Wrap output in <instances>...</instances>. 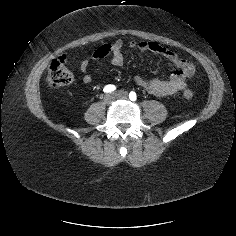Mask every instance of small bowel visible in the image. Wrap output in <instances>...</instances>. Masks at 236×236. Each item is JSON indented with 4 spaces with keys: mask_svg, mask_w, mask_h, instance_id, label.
<instances>
[{
    "mask_svg": "<svg viewBox=\"0 0 236 236\" xmlns=\"http://www.w3.org/2000/svg\"><path fill=\"white\" fill-rule=\"evenodd\" d=\"M129 47L141 51H147L159 54L173 63L176 69L166 79H146L142 76L136 75L133 77L134 82L148 93L156 96H168L184 91L188 86L187 78L194 73V66L191 61L180 56L173 50L163 47L152 41H131ZM107 55L111 56L110 65L115 67L124 66L123 56V42L121 40L115 41L113 44H103L97 47L92 53L91 58H86L80 63V71L82 73V82L85 85H90L93 78L88 74V68L93 61L102 59ZM128 76V80H130Z\"/></svg>",
    "mask_w": 236,
    "mask_h": 236,
    "instance_id": "c3829d8e",
    "label": "small bowel"
}]
</instances>
